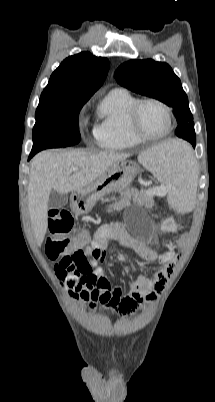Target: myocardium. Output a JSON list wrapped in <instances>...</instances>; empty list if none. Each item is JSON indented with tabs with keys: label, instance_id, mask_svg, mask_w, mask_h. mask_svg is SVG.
<instances>
[{
	"label": "myocardium",
	"instance_id": "obj_1",
	"mask_svg": "<svg viewBox=\"0 0 215 402\" xmlns=\"http://www.w3.org/2000/svg\"><path fill=\"white\" fill-rule=\"evenodd\" d=\"M148 103H153V104L160 106L167 115L168 128L162 134L150 135V134L144 132L140 126V121H139L140 111H141L142 107ZM128 122H129V128L135 137H137L143 141H156V140H161V139L167 137L171 133V131L173 129V114H172L170 107L165 102H163L157 98H152V97L143 98V99L137 100L131 107V109L129 111Z\"/></svg>",
	"mask_w": 215,
	"mask_h": 402
}]
</instances>
